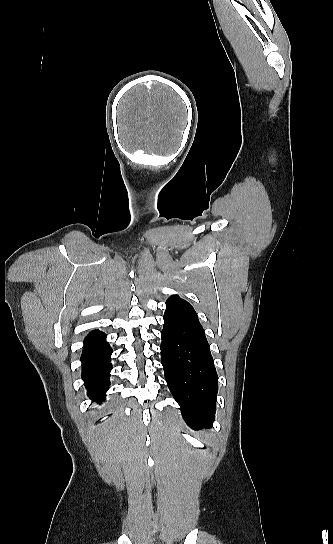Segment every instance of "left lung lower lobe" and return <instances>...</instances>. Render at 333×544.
Masks as SVG:
<instances>
[{"label": "left lung lower lobe", "instance_id": "left-lung-lower-lobe-1", "mask_svg": "<svg viewBox=\"0 0 333 544\" xmlns=\"http://www.w3.org/2000/svg\"><path fill=\"white\" fill-rule=\"evenodd\" d=\"M161 364L167 385L187 424L210 427L215 419L218 377L202 325L178 295L166 301Z\"/></svg>", "mask_w": 333, "mask_h": 544}]
</instances>
